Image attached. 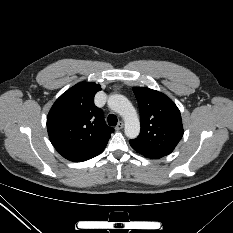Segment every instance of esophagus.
I'll list each match as a JSON object with an SVG mask.
<instances>
[{
  "instance_id": "1",
  "label": "esophagus",
  "mask_w": 233,
  "mask_h": 233,
  "mask_svg": "<svg viewBox=\"0 0 233 233\" xmlns=\"http://www.w3.org/2000/svg\"><path fill=\"white\" fill-rule=\"evenodd\" d=\"M124 126V123L122 121H120L117 126L115 127V129L118 131V130H121Z\"/></svg>"
}]
</instances>
